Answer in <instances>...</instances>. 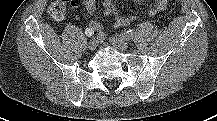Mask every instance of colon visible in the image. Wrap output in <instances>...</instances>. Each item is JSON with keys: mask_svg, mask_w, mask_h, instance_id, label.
<instances>
[{"mask_svg": "<svg viewBox=\"0 0 217 121\" xmlns=\"http://www.w3.org/2000/svg\"><path fill=\"white\" fill-rule=\"evenodd\" d=\"M66 13V0H56L48 7V14L55 20H61Z\"/></svg>", "mask_w": 217, "mask_h": 121, "instance_id": "colon-1", "label": "colon"}]
</instances>
